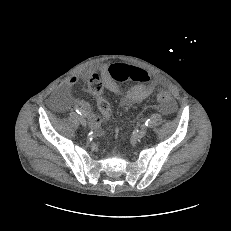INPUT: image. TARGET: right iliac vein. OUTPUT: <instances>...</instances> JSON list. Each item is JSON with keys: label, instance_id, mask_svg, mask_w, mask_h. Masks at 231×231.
<instances>
[{"label": "right iliac vein", "instance_id": "1", "mask_svg": "<svg viewBox=\"0 0 231 231\" xmlns=\"http://www.w3.org/2000/svg\"><path fill=\"white\" fill-rule=\"evenodd\" d=\"M79 120H80V123H81L82 126H84V127L87 126V121H86V119H85L84 117L81 116V117L79 118Z\"/></svg>", "mask_w": 231, "mask_h": 231}]
</instances>
